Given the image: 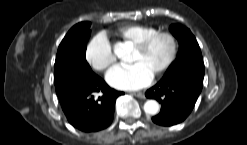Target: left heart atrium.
Returning a JSON list of instances; mask_svg holds the SVG:
<instances>
[{
	"label": "left heart atrium",
	"mask_w": 247,
	"mask_h": 145,
	"mask_svg": "<svg viewBox=\"0 0 247 145\" xmlns=\"http://www.w3.org/2000/svg\"><path fill=\"white\" fill-rule=\"evenodd\" d=\"M108 83L118 89L135 90L148 85L153 75L140 63L113 67L106 75Z\"/></svg>",
	"instance_id": "left-heart-atrium-1"
}]
</instances>
